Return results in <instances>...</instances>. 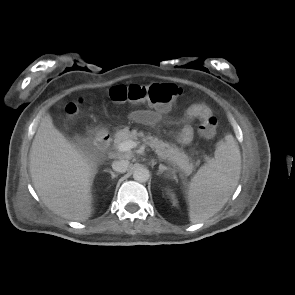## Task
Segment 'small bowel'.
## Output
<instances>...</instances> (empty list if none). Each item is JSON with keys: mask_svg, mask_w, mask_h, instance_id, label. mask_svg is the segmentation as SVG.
I'll use <instances>...</instances> for the list:
<instances>
[{"mask_svg": "<svg viewBox=\"0 0 295 295\" xmlns=\"http://www.w3.org/2000/svg\"><path fill=\"white\" fill-rule=\"evenodd\" d=\"M167 115V110H134L129 113L128 117L136 123L147 125L150 127L157 126ZM212 110L204 103H196L189 107L185 114V122L177 134V140L181 144H189L194 135L192 123L195 120H203L207 116H211Z\"/></svg>", "mask_w": 295, "mask_h": 295, "instance_id": "obj_1", "label": "small bowel"}]
</instances>
